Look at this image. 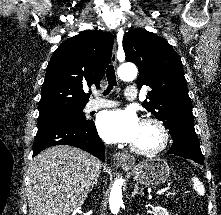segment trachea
Masks as SVG:
<instances>
[{
    "label": "trachea",
    "mask_w": 221,
    "mask_h": 215,
    "mask_svg": "<svg viewBox=\"0 0 221 215\" xmlns=\"http://www.w3.org/2000/svg\"><path fill=\"white\" fill-rule=\"evenodd\" d=\"M106 77H107L109 85H108L107 89L105 90V92L103 93V95L108 94L113 89V87L117 85L115 69H114L113 65H109L107 67Z\"/></svg>",
    "instance_id": "3493384b"
}]
</instances>
